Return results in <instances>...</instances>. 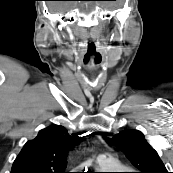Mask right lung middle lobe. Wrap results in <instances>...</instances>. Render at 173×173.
<instances>
[{
    "label": "right lung middle lobe",
    "instance_id": "obj_1",
    "mask_svg": "<svg viewBox=\"0 0 173 173\" xmlns=\"http://www.w3.org/2000/svg\"><path fill=\"white\" fill-rule=\"evenodd\" d=\"M20 173H26L25 171H21Z\"/></svg>",
    "mask_w": 173,
    "mask_h": 173
}]
</instances>
